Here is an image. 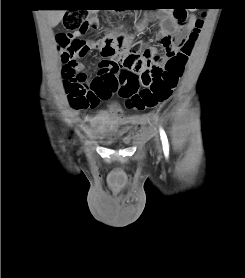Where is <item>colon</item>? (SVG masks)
<instances>
[{
    "mask_svg": "<svg viewBox=\"0 0 245 278\" xmlns=\"http://www.w3.org/2000/svg\"><path fill=\"white\" fill-rule=\"evenodd\" d=\"M198 7H193L195 9ZM85 9H78L68 12L63 19L64 31L58 36V46L63 50V78L66 82L67 103L73 111H82L95 107L98 104L102 93L96 92V82L90 81L88 76L77 72L73 68L77 58L83 56L89 47L80 38H72V33L78 31L95 30L97 21L85 17ZM177 18L182 14L177 13ZM202 21L196 22L197 30L201 27ZM196 30V31H197ZM193 31L187 39H176L179 51L169 57L157 56V61L163 62V67L150 65L147 62L146 68L141 73H129L120 78L109 77L111 93L118 94L126 100V106L135 111L153 109L168 102L183 76L185 63L189 57L190 49L197 37ZM144 87L139 89V83Z\"/></svg>",
    "mask_w": 245,
    "mask_h": 278,
    "instance_id": "colon-1",
    "label": "colon"
}]
</instances>
